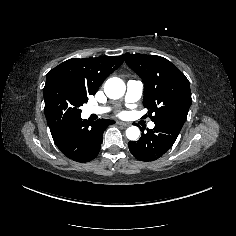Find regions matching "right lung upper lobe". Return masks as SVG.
Masks as SVG:
<instances>
[{"label": "right lung upper lobe", "mask_w": 236, "mask_h": 236, "mask_svg": "<svg viewBox=\"0 0 236 236\" xmlns=\"http://www.w3.org/2000/svg\"><path fill=\"white\" fill-rule=\"evenodd\" d=\"M123 61V56L72 58L49 71L46 82L53 79H64L87 96L94 95L103 81Z\"/></svg>", "instance_id": "obj_1"}]
</instances>
